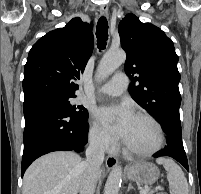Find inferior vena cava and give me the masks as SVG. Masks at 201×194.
Returning <instances> with one entry per match:
<instances>
[{
  "label": "inferior vena cava",
  "instance_id": "602c4592",
  "mask_svg": "<svg viewBox=\"0 0 201 194\" xmlns=\"http://www.w3.org/2000/svg\"><path fill=\"white\" fill-rule=\"evenodd\" d=\"M106 147L107 142L103 137L94 138L90 141L86 150V161L83 162L84 173L79 188L80 194H94Z\"/></svg>",
  "mask_w": 201,
  "mask_h": 194
}]
</instances>
